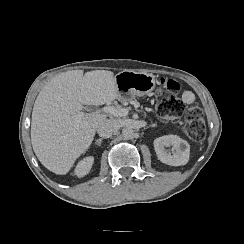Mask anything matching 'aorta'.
Instances as JSON below:
<instances>
[{
  "label": "aorta",
  "mask_w": 244,
  "mask_h": 244,
  "mask_svg": "<svg viewBox=\"0 0 244 244\" xmlns=\"http://www.w3.org/2000/svg\"><path fill=\"white\" fill-rule=\"evenodd\" d=\"M134 130L133 129H131V128H124L123 130H122V135H123V137L125 138V139H132V138H134Z\"/></svg>",
  "instance_id": "aorta-1"
}]
</instances>
